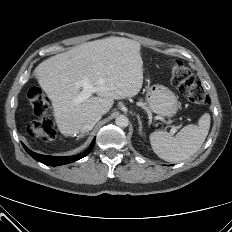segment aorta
<instances>
[{"label": "aorta", "mask_w": 232, "mask_h": 232, "mask_svg": "<svg viewBox=\"0 0 232 232\" xmlns=\"http://www.w3.org/2000/svg\"><path fill=\"white\" fill-rule=\"evenodd\" d=\"M117 126L125 128L129 125V120L125 115H120L115 119Z\"/></svg>", "instance_id": "762f6f07"}]
</instances>
